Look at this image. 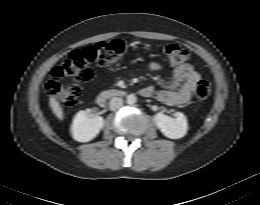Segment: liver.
<instances>
[{
    "label": "liver",
    "instance_id": "1",
    "mask_svg": "<svg viewBox=\"0 0 260 205\" xmlns=\"http://www.w3.org/2000/svg\"><path fill=\"white\" fill-rule=\"evenodd\" d=\"M49 104H50V107H51L53 113L55 114V116H56L59 120L62 121V120L64 119V112H63L62 106H61L60 103L55 99L54 96H50Z\"/></svg>",
    "mask_w": 260,
    "mask_h": 205
}]
</instances>
